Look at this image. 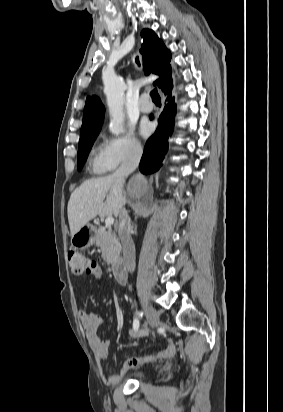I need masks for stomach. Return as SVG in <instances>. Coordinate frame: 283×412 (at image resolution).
<instances>
[{
	"mask_svg": "<svg viewBox=\"0 0 283 412\" xmlns=\"http://www.w3.org/2000/svg\"><path fill=\"white\" fill-rule=\"evenodd\" d=\"M95 229L91 225L83 226L77 233L71 237V246L75 249H85L95 243Z\"/></svg>",
	"mask_w": 283,
	"mask_h": 412,
	"instance_id": "0dacf381",
	"label": "stomach"
}]
</instances>
